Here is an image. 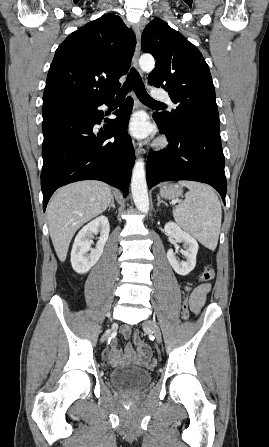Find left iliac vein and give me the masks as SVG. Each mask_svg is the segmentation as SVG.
I'll return each mask as SVG.
<instances>
[{
    "mask_svg": "<svg viewBox=\"0 0 269 447\" xmlns=\"http://www.w3.org/2000/svg\"><path fill=\"white\" fill-rule=\"evenodd\" d=\"M145 325L155 331V337H156L157 341L160 342L162 339V336H161V332H160L158 325L154 321H147L145 323Z\"/></svg>",
    "mask_w": 269,
    "mask_h": 447,
    "instance_id": "4c4485c4",
    "label": "left iliac vein"
}]
</instances>
